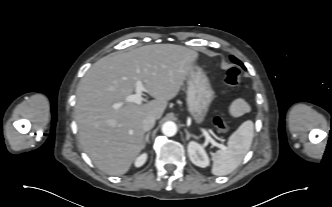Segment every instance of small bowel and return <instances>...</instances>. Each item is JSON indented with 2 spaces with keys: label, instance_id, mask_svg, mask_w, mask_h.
<instances>
[{
  "label": "small bowel",
  "instance_id": "c3829d8e",
  "mask_svg": "<svg viewBox=\"0 0 332 207\" xmlns=\"http://www.w3.org/2000/svg\"><path fill=\"white\" fill-rule=\"evenodd\" d=\"M248 111V105L243 99L235 100L230 107V112L234 116L243 115Z\"/></svg>",
  "mask_w": 332,
  "mask_h": 207
}]
</instances>
